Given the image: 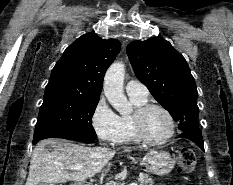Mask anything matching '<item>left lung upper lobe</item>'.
Instances as JSON below:
<instances>
[{
    "label": "left lung upper lobe",
    "mask_w": 233,
    "mask_h": 185,
    "mask_svg": "<svg viewBox=\"0 0 233 185\" xmlns=\"http://www.w3.org/2000/svg\"><path fill=\"white\" fill-rule=\"evenodd\" d=\"M127 55L136 77L179 122V129L198 128L197 88L185 58L160 37L130 43Z\"/></svg>",
    "instance_id": "obj_1"
}]
</instances>
